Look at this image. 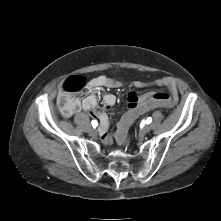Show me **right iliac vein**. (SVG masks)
Masks as SVG:
<instances>
[{
  "label": "right iliac vein",
  "instance_id": "right-iliac-vein-1",
  "mask_svg": "<svg viewBox=\"0 0 221 221\" xmlns=\"http://www.w3.org/2000/svg\"><path fill=\"white\" fill-rule=\"evenodd\" d=\"M88 132H89V134H91V135H95L96 134V129H94V128H89L88 129Z\"/></svg>",
  "mask_w": 221,
  "mask_h": 221
}]
</instances>
